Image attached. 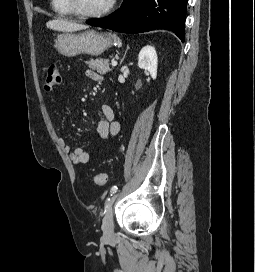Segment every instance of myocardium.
<instances>
[{
	"label": "myocardium",
	"mask_w": 255,
	"mask_h": 272,
	"mask_svg": "<svg viewBox=\"0 0 255 272\" xmlns=\"http://www.w3.org/2000/svg\"><path fill=\"white\" fill-rule=\"evenodd\" d=\"M116 0H109L107 6L98 12H83L77 5L75 0H65L66 6L73 15L83 19L101 18L108 15L114 8Z\"/></svg>",
	"instance_id": "myocardium-1"
}]
</instances>
